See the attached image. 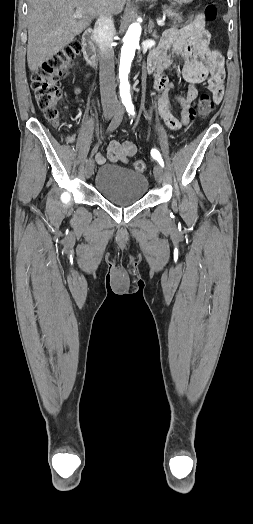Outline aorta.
<instances>
[{
  "label": "aorta",
  "mask_w": 253,
  "mask_h": 524,
  "mask_svg": "<svg viewBox=\"0 0 253 524\" xmlns=\"http://www.w3.org/2000/svg\"><path fill=\"white\" fill-rule=\"evenodd\" d=\"M141 35V26L139 23H133L129 26L121 49V57L119 64V79H120V96L122 100H130V84L128 82V75L130 73L131 62L135 55V50L139 45Z\"/></svg>",
  "instance_id": "762f6f07"
}]
</instances>
